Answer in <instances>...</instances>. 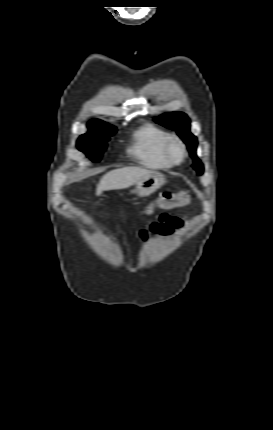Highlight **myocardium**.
Masks as SVG:
<instances>
[{
	"label": "myocardium",
	"instance_id": "1",
	"mask_svg": "<svg viewBox=\"0 0 273 430\" xmlns=\"http://www.w3.org/2000/svg\"><path fill=\"white\" fill-rule=\"evenodd\" d=\"M178 147L180 153L178 157L173 155V147ZM165 158L172 164L178 165L184 161L187 155V150L184 142L177 136H170L164 144L163 148Z\"/></svg>",
	"mask_w": 273,
	"mask_h": 430
}]
</instances>
